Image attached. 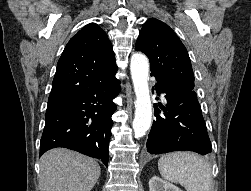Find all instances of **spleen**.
<instances>
[{
  "label": "spleen",
  "mask_w": 251,
  "mask_h": 191,
  "mask_svg": "<svg viewBox=\"0 0 251 191\" xmlns=\"http://www.w3.org/2000/svg\"><path fill=\"white\" fill-rule=\"evenodd\" d=\"M159 171L168 181L181 183L186 191H210L211 167L193 151H172L158 161Z\"/></svg>",
  "instance_id": "obj_1"
}]
</instances>
